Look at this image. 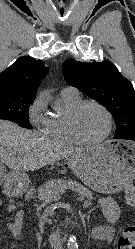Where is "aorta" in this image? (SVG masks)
I'll return each mask as SVG.
<instances>
[{
  "mask_svg": "<svg viewBox=\"0 0 135 249\" xmlns=\"http://www.w3.org/2000/svg\"><path fill=\"white\" fill-rule=\"evenodd\" d=\"M67 249H78V244L74 235L69 236L67 242Z\"/></svg>",
  "mask_w": 135,
  "mask_h": 249,
  "instance_id": "1",
  "label": "aorta"
}]
</instances>
